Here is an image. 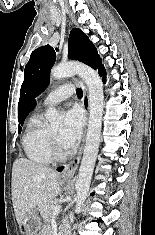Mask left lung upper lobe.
<instances>
[{"label":"left lung upper lobe","mask_w":155,"mask_h":235,"mask_svg":"<svg viewBox=\"0 0 155 235\" xmlns=\"http://www.w3.org/2000/svg\"><path fill=\"white\" fill-rule=\"evenodd\" d=\"M68 56L82 61L98 71L103 67L97 50L89 38L78 28L69 35ZM56 61V52L50 45L37 48L31 53L25 66L24 82L19 99V122H23L26 105L32 97L38 96L48 85L50 70Z\"/></svg>","instance_id":"1"}]
</instances>
